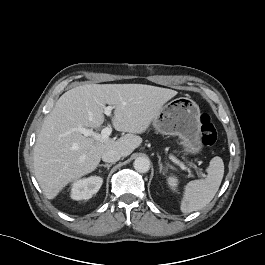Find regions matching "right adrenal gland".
<instances>
[{"instance_id":"right-adrenal-gland-1","label":"right adrenal gland","mask_w":265,"mask_h":265,"mask_svg":"<svg viewBox=\"0 0 265 265\" xmlns=\"http://www.w3.org/2000/svg\"><path fill=\"white\" fill-rule=\"evenodd\" d=\"M112 166V164H100L99 167H104L107 168V170H109V168Z\"/></svg>"}]
</instances>
